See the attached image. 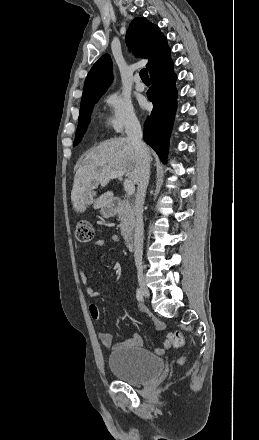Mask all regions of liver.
<instances>
[{
  "mask_svg": "<svg viewBox=\"0 0 259 440\" xmlns=\"http://www.w3.org/2000/svg\"><path fill=\"white\" fill-rule=\"evenodd\" d=\"M149 162L152 151L147 146ZM114 171H123L133 184L138 183L139 157L128 138H113L102 142L92 149L76 171L71 192L73 208L84 212L88 206L103 208L114 198L112 191H107L96 198L94 191L99 183Z\"/></svg>",
  "mask_w": 259,
  "mask_h": 440,
  "instance_id": "6515ba94",
  "label": "liver"
}]
</instances>
